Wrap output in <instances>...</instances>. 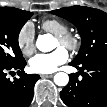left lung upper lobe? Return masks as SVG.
<instances>
[{"instance_id": "5c2ea615", "label": "left lung upper lobe", "mask_w": 107, "mask_h": 107, "mask_svg": "<svg viewBox=\"0 0 107 107\" xmlns=\"http://www.w3.org/2000/svg\"><path fill=\"white\" fill-rule=\"evenodd\" d=\"M72 22L78 29L82 44L71 62L82 64L93 58L107 55V14L85 6L64 7L51 11Z\"/></svg>"}]
</instances>
